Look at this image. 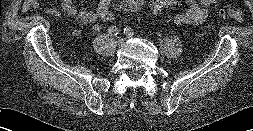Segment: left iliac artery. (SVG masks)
Wrapping results in <instances>:
<instances>
[{
    "mask_svg": "<svg viewBox=\"0 0 253 131\" xmlns=\"http://www.w3.org/2000/svg\"><path fill=\"white\" fill-rule=\"evenodd\" d=\"M124 34H125V35H132V34H134L133 28H132V27H129V26L125 27V28H124Z\"/></svg>",
    "mask_w": 253,
    "mask_h": 131,
    "instance_id": "1",
    "label": "left iliac artery"
}]
</instances>
